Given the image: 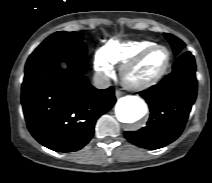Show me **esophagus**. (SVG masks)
<instances>
[{
	"mask_svg": "<svg viewBox=\"0 0 212 183\" xmlns=\"http://www.w3.org/2000/svg\"><path fill=\"white\" fill-rule=\"evenodd\" d=\"M121 95H122V92H121L120 90H116V91H115V96H116L117 98H119Z\"/></svg>",
	"mask_w": 212,
	"mask_h": 183,
	"instance_id": "1",
	"label": "esophagus"
}]
</instances>
